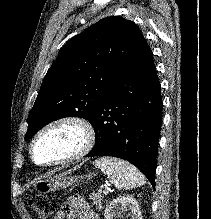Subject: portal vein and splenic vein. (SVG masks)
Wrapping results in <instances>:
<instances>
[{
  "instance_id": "1",
  "label": "portal vein and splenic vein",
  "mask_w": 211,
  "mask_h": 219,
  "mask_svg": "<svg viewBox=\"0 0 211 219\" xmlns=\"http://www.w3.org/2000/svg\"><path fill=\"white\" fill-rule=\"evenodd\" d=\"M99 192H102V190H99ZM108 192H109V190L106 189V188L103 190V193H104V194H108Z\"/></svg>"
}]
</instances>
